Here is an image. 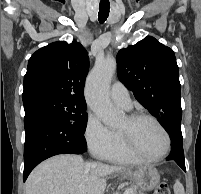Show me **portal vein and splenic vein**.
<instances>
[{
	"instance_id": "obj_1",
	"label": "portal vein and splenic vein",
	"mask_w": 201,
	"mask_h": 194,
	"mask_svg": "<svg viewBox=\"0 0 201 194\" xmlns=\"http://www.w3.org/2000/svg\"><path fill=\"white\" fill-rule=\"evenodd\" d=\"M124 194H130V190L129 189H126Z\"/></svg>"
}]
</instances>
